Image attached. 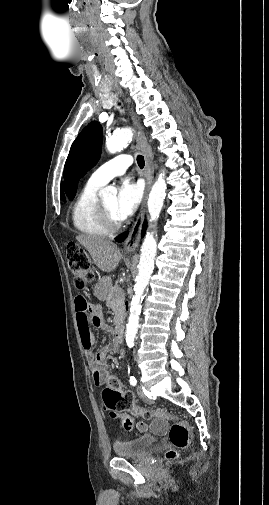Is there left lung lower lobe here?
I'll list each match as a JSON object with an SVG mask.
<instances>
[{"mask_svg": "<svg viewBox=\"0 0 269 505\" xmlns=\"http://www.w3.org/2000/svg\"><path fill=\"white\" fill-rule=\"evenodd\" d=\"M145 229H146V224H144V226H143V233H144ZM126 236H127V233H124V234H122L121 236H119V237L116 239V241H118V242H122V241H124V239L126 238Z\"/></svg>", "mask_w": 269, "mask_h": 505, "instance_id": "left-lung-lower-lobe-1", "label": "left lung lower lobe"}]
</instances>
